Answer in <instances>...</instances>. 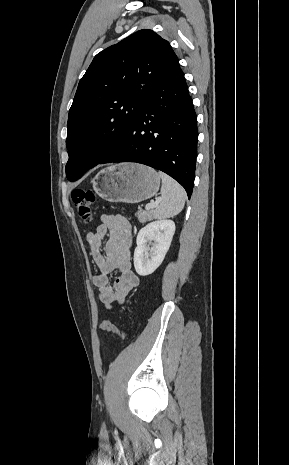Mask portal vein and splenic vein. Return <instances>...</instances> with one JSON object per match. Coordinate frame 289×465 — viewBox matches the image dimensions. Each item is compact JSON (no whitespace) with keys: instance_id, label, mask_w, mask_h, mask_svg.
<instances>
[{"instance_id":"obj_1","label":"portal vein and splenic vein","mask_w":289,"mask_h":465,"mask_svg":"<svg viewBox=\"0 0 289 465\" xmlns=\"http://www.w3.org/2000/svg\"><path fill=\"white\" fill-rule=\"evenodd\" d=\"M160 200H157L156 202H151L145 206V209L148 211L150 209H153L157 206Z\"/></svg>"}]
</instances>
